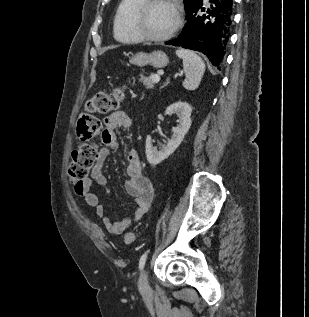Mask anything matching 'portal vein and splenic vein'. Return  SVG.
Returning <instances> with one entry per match:
<instances>
[{
  "instance_id": "portal-vein-and-splenic-vein-1",
  "label": "portal vein and splenic vein",
  "mask_w": 309,
  "mask_h": 317,
  "mask_svg": "<svg viewBox=\"0 0 309 317\" xmlns=\"http://www.w3.org/2000/svg\"><path fill=\"white\" fill-rule=\"evenodd\" d=\"M152 80L153 82L158 83L160 81L159 74L152 75Z\"/></svg>"
}]
</instances>
